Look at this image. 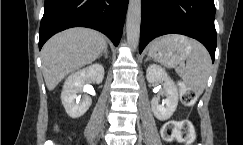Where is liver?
<instances>
[{
    "mask_svg": "<svg viewBox=\"0 0 243 145\" xmlns=\"http://www.w3.org/2000/svg\"><path fill=\"white\" fill-rule=\"evenodd\" d=\"M104 36L92 29L72 28L50 38L42 48V72L52 91L72 71L94 62L104 51Z\"/></svg>",
    "mask_w": 243,
    "mask_h": 145,
    "instance_id": "1",
    "label": "liver"
}]
</instances>
